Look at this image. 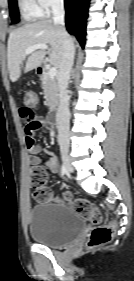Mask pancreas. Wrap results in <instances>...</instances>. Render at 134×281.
Returning <instances> with one entry per match:
<instances>
[{
  "instance_id": "obj_1",
  "label": "pancreas",
  "mask_w": 134,
  "mask_h": 281,
  "mask_svg": "<svg viewBox=\"0 0 134 281\" xmlns=\"http://www.w3.org/2000/svg\"><path fill=\"white\" fill-rule=\"evenodd\" d=\"M42 89L44 91L46 105L50 111L54 110L57 106L58 98V85L55 78L50 77L48 73H45L42 78Z\"/></svg>"
}]
</instances>
